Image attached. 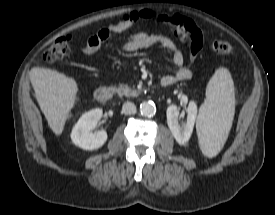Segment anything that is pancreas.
<instances>
[{
    "label": "pancreas",
    "instance_id": "obj_1",
    "mask_svg": "<svg viewBox=\"0 0 275 215\" xmlns=\"http://www.w3.org/2000/svg\"><path fill=\"white\" fill-rule=\"evenodd\" d=\"M116 92L119 96H125V97H135L140 94V90L132 89L128 85L120 84L116 88Z\"/></svg>",
    "mask_w": 275,
    "mask_h": 215
}]
</instances>
